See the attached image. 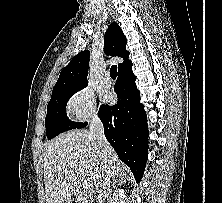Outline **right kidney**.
I'll use <instances>...</instances> for the list:
<instances>
[{
    "label": "right kidney",
    "instance_id": "ca27d5eb",
    "mask_svg": "<svg viewBox=\"0 0 222 203\" xmlns=\"http://www.w3.org/2000/svg\"><path fill=\"white\" fill-rule=\"evenodd\" d=\"M125 193L123 189L116 190L113 194V203H124Z\"/></svg>",
    "mask_w": 222,
    "mask_h": 203
}]
</instances>
